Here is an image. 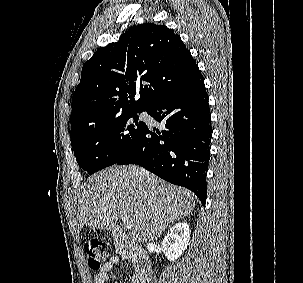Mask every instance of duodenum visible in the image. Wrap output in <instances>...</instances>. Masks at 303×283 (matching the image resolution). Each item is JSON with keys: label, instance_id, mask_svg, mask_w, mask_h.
Listing matches in <instances>:
<instances>
[{"label": "duodenum", "instance_id": "obj_1", "mask_svg": "<svg viewBox=\"0 0 303 283\" xmlns=\"http://www.w3.org/2000/svg\"><path fill=\"white\" fill-rule=\"evenodd\" d=\"M112 235L118 242L125 243L126 234L122 228L116 226L112 230ZM132 256L137 265V283H149L152 275V265L149 256L139 249H134Z\"/></svg>", "mask_w": 303, "mask_h": 283}]
</instances>
